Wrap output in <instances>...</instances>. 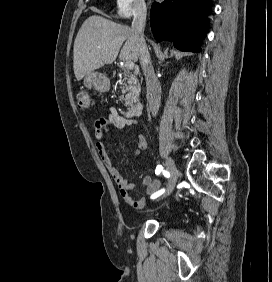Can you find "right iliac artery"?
Here are the masks:
<instances>
[{"label": "right iliac artery", "mask_w": 272, "mask_h": 282, "mask_svg": "<svg viewBox=\"0 0 272 282\" xmlns=\"http://www.w3.org/2000/svg\"><path fill=\"white\" fill-rule=\"evenodd\" d=\"M155 173L156 175H160L161 173L164 174L165 177H169L170 174L168 171L164 170L163 167L161 165H158L156 167V170H155ZM165 192V189H161L159 191H157L156 193L152 194L151 195V199H156L157 197H159L160 195H162L163 193Z\"/></svg>", "instance_id": "right-iliac-artery-1"}]
</instances>
